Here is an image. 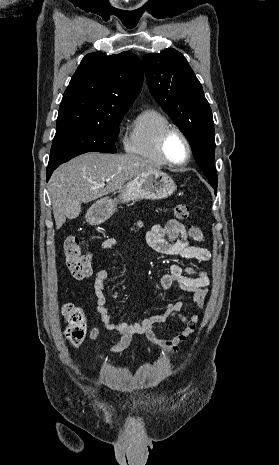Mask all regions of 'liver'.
I'll return each instance as SVG.
<instances>
[{"label": "liver", "instance_id": "6515ba94", "mask_svg": "<svg viewBox=\"0 0 279 465\" xmlns=\"http://www.w3.org/2000/svg\"><path fill=\"white\" fill-rule=\"evenodd\" d=\"M158 171L147 159L132 154L90 152L60 165L49 180V195L56 229L66 221L65 205L88 203L114 193L133 177ZM107 182L106 187L99 185Z\"/></svg>", "mask_w": 279, "mask_h": 465}]
</instances>
